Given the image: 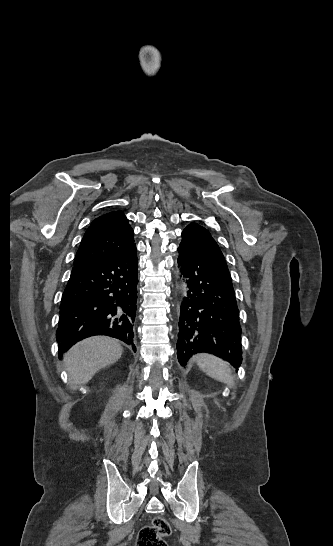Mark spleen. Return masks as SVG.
<instances>
[{"instance_id":"obj_1","label":"spleen","mask_w":333,"mask_h":546,"mask_svg":"<svg viewBox=\"0 0 333 546\" xmlns=\"http://www.w3.org/2000/svg\"><path fill=\"white\" fill-rule=\"evenodd\" d=\"M199 368L211 378L228 385L233 384V377L227 362L209 354L196 356Z\"/></svg>"}]
</instances>
